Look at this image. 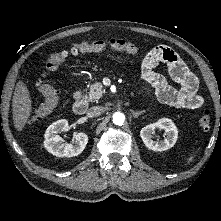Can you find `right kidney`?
I'll return each instance as SVG.
<instances>
[{
  "label": "right kidney",
  "instance_id": "obj_1",
  "mask_svg": "<svg viewBox=\"0 0 221 221\" xmlns=\"http://www.w3.org/2000/svg\"><path fill=\"white\" fill-rule=\"evenodd\" d=\"M67 129L68 121L65 119L58 120L47 128L44 146L48 152L57 157H73L79 155L85 149L88 143V136L83 132L76 134L75 143H63L58 133Z\"/></svg>",
  "mask_w": 221,
  "mask_h": 221
}]
</instances>
